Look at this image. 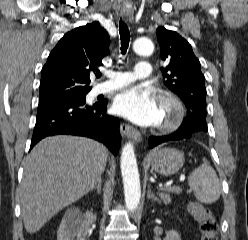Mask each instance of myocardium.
<instances>
[{"instance_id": "obj_1", "label": "myocardium", "mask_w": 248, "mask_h": 240, "mask_svg": "<svg viewBox=\"0 0 248 240\" xmlns=\"http://www.w3.org/2000/svg\"><path fill=\"white\" fill-rule=\"evenodd\" d=\"M160 104L168 108L167 115L158 125V130L171 132L177 130L186 118V108L179 97L171 92H164L159 98Z\"/></svg>"}]
</instances>
